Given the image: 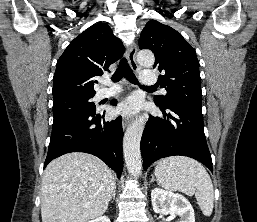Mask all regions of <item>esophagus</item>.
I'll use <instances>...</instances> for the list:
<instances>
[{
    "label": "esophagus",
    "instance_id": "obj_1",
    "mask_svg": "<svg viewBox=\"0 0 257 222\" xmlns=\"http://www.w3.org/2000/svg\"><path fill=\"white\" fill-rule=\"evenodd\" d=\"M126 54H127V58H128L131 68L134 71H139L140 68L136 61V54H137L136 46L134 44L128 46ZM130 122H131V119L129 117L124 118L123 122H122L123 129H126V127L129 125Z\"/></svg>",
    "mask_w": 257,
    "mask_h": 222
}]
</instances>
